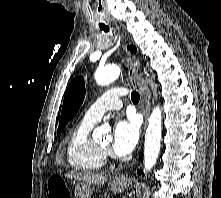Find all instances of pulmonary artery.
<instances>
[{
    "label": "pulmonary artery",
    "instance_id": "e3ab8cb5",
    "mask_svg": "<svg viewBox=\"0 0 221 198\" xmlns=\"http://www.w3.org/2000/svg\"><path fill=\"white\" fill-rule=\"evenodd\" d=\"M124 95H126V90L121 87L108 90L89 107L84 113L83 120L97 123L105 112L121 107V97Z\"/></svg>",
    "mask_w": 221,
    "mask_h": 198
}]
</instances>
